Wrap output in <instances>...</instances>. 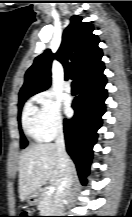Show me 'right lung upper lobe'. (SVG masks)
Returning <instances> with one entry per match:
<instances>
[{
  "instance_id": "right-lung-upper-lobe-1",
  "label": "right lung upper lobe",
  "mask_w": 132,
  "mask_h": 217,
  "mask_svg": "<svg viewBox=\"0 0 132 217\" xmlns=\"http://www.w3.org/2000/svg\"><path fill=\"white\" fill-rule=\"evenodd\" d=\"M93 30V26L82 22L81 17H72L63 33L59 50L52 54L47 49L35 58L27 70L19 92L20 99L42 92L50 86L53 59L62 63L65 79L76 80L78 85L104 77V63L101 61L103 54L98 47V37L92 34Z\"/></svg>"
}]
</instances>
